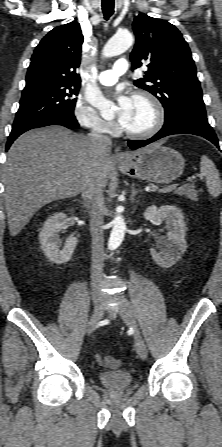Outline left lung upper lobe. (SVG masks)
Listing matches in <instances>:
<instances>
[{
	"label": "left lung upper lobe",
	"mask_w": 222,
	"mask_h": 447,
	"mask_svg": "<svg viewBox=\"0 0 222 447\" xmlns=\"http://www.w3.org/2000/svg\"><path fill=\"white\" fill-rule=\"evenodd\" d=\"M136 44L130 55L137 68L148 63L144 78L135 85L156 96L165 108V120L176 113L206 119L200 82L187 42L169 22L144 13L135 17Z\"/></svg>",
	"instance_id": "obj_1"
}]
</instances>
